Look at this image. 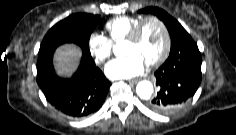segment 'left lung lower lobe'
Masks as SVG:
<instances>
[{
    "mask_svg": "<svg viewBox=\"0 0 236 135\" xmlns=\"http://www.w3.org/2000/svg\"><path fill=\"white\" fill-rule=\"evenodd\" d=\"M201 63V53L196 44L170 55L155 73L159 91L150 102V109L168 114L188 102L200 85Z\"/></svg>",
    "mask_w": 236,
    "mask_h": 135,
    "instance_id": "left-lung-lower-lobe-1",
    "label": "left lung lower lobe"
}]
</instances>
